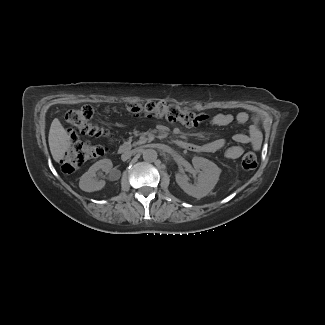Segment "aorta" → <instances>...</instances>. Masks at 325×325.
Wrapping results in <instances>:
<instances>
[{
	"instance_id": "aorta-1",
	"label": "aorta",
	"mask_w": 325,
	"mask_h": 325,
	"mask_svg": "<svg viewBox=\"0 0 325 325\" xmlns=\"http://www.w3.org/2000/svg\"><path fill=\"white\" fill-rule=\"evenodd\" d=\"M143 159L146 162H154L157 159V152L154 149H145L142 153Z\"/></svg>"
}]
</instances>
